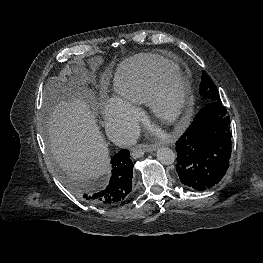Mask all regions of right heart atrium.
Masks as SVG:
<instances>
[{
  "mask_svg": "<svg viewBox=\"0 0 263 263\" xmlns=\"http://www.w3.org/2000/svg\"><path fill=\"white\" fill-rule=\"evenodd\" d=\"M104 115L109 128L133 135L138 127L139 112L118 99H109L104 105Z\"/></svg>",
  "mask_w": 263,
  "mask_h": 263,
  "instance_id": "d8ad5b80",
  "label": "right heart atrium"
}]
</instances>
